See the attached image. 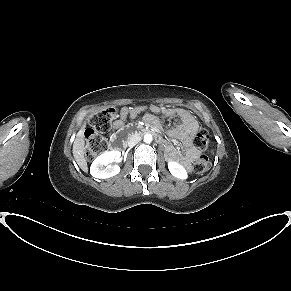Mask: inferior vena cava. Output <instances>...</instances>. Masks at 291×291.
Instances as JSON below:
<instances>
[{
	"mask_svg": "<svg viewBox=\"0 0 291 291\" xmlns=\"http://www.w3.org/2000/svg\"><path fill=\"white\" fill-rule=\"evenodd\" d=\"M141 140L139 135H132L128 141V146L133 147Z\"/></svg>",
	"mask_w": 291,
	"mask_h": 291,
	"instance_id": "inferior-vena-cava-1",
	"label": "inferior vena cava"
}]
</instances>
